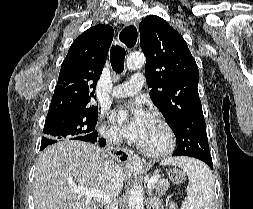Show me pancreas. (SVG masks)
Instances as JSON below:
<instances>
[{"label": "pancreas", "instance_id": "pancreas-1", "mask_svg": "<svg viewBox=\"0 0 253 209\" xmlns=\"http://www.w3.org/2000/svg\"><path fill=\"white\" fill-rule=\"evenodd\" d=\"M169 187V182L167 180H158L152 189L156 192V197L159 199L165 195L166 190Z\"/></svg>", "mask_w": 253, "mask_h": 209}]
</instances>
